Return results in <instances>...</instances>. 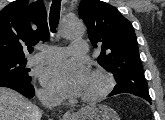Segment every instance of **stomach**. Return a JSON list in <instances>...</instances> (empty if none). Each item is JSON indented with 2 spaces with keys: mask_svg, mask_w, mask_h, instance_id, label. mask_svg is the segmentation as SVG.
I'll return each instance as SVG.
<instances>
[{
  "mask_svg": "<svg viewBox=\"0 0 165 120\" xmlns=\"http://www.w3.org/2000/svg\"><path fill=\"white\" fill-rule=\"evenodd\" d=\"M75 120H120V117L111 107L97 104L82 109Z\"/></svg>",
  "mask_w": 165,
  "mask_h": 120,
  "instance_id": "obj_1",
  "label": "stomach"
}]
</instances>
